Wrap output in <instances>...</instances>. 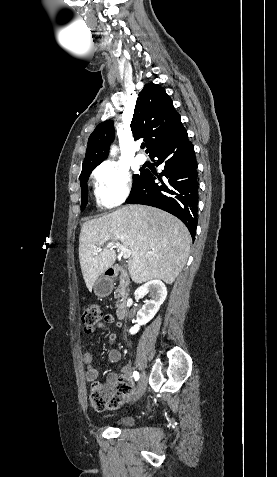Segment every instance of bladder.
<instances>
[{
  "label": "bladder",
  "instance_id": "obj_1",
  "mask_svg": "<svg viewBox=\"0 0 277 477\" xmlns=\"http://www.w3.org/2000/svg\"><path fill=\"white\" fill-rule=\"evenodd\" d=\"M133 423L134 418L132 416H123L116 421V424L120 426H130Z\"/></svg>",
  "mask_w": 277,
  "mask_h": 477
}]
</instances>
